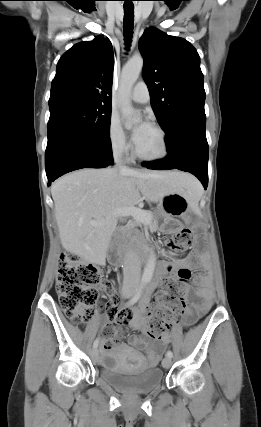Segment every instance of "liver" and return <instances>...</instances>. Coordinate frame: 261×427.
Segmentation results:
<instances>
[{
	"mask_svg": "<svg viewBox=\"0 0 261 427\" xmlns=\"http://www.w3.org/2000/svg\"><path fill=\"white\" fill-rule=\"evenodd\" d=\"M192 176L178 171L84 168L62 176L51 187L62 247L83 259L103 264L116 229L118 208L134 207L143 198L159 202L183 192L188 200ZM91 221L101 223L93 226Z\"/></svg>",
	"mask_w": 261,
	"mask_h": 427,
	"instance_id": "obj_1",
	"label": "liver"
}]
</instances>
